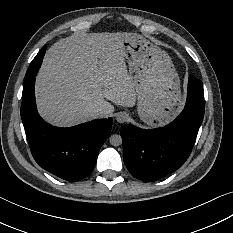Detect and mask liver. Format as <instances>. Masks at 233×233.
<instances>
[{"label": "liver", "mask_w": 233, "mask_h": 233, "mask_svg": "<svg viewBox=\"0 0 233 233\" xmlns=\"http://www.w3.org/2000/svg\"><path fill=\"white\" fill-rule=\"evenodd\" d=\"M126 32L72 33L46 50L35 76V104L47 123L68 128L93 120L91 111L135 103L121 54ZM106 98V99H105Z\"/></svg>", "instance_id": "1"}]
</instances>
